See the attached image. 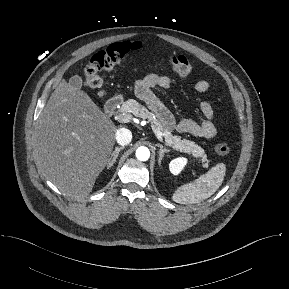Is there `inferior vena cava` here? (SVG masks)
Returning a JSON list of instances; mask_svg holds the SVG:
<instances>
[{
    "instance_id": "inferior-vena-cava-1",
    "label": "inferior vena cava",
    "mask_w": 289,
    "mask_h": 289,
    "mask_svg": "<svg viewBox=\"0 0 289 289\" xmlns=\"http://www.w3.org/2000/svg\"><path fill=\"white\" fill-rule=\"evenodd\" d=\"M116 141L119 145H128L132 140V133L129 129L120 128L116 131L115 135Z\"/></svg>"
}]
</instances>
